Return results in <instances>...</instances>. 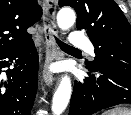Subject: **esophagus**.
I'll return each mask as SVG.
<instances>
[{"mask_svg":"<svg viewBox=\"0 0 131 115\" xmlns=\"http://www.w3.org/2000/svg\"><path fill=\"white\" fill-rule=\"evenodd\" d=\"M56 0H44L43 2V33L46 42V56L43 67V79L47 86L54 82V76L49 67L54 60L61 59L62 53L58 49L55 41V36L58 34V27L56 24Z\"/></svg>","mask_w":131,"mask_h":115,"instance_id":"1","label":"esophagus"}]
</instances>
